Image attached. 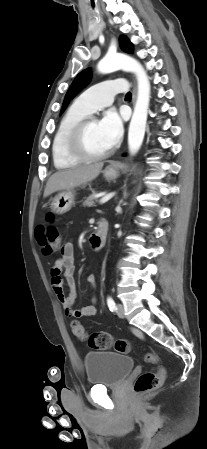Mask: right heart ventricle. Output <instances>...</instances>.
<instances>
[{
    "mask_svg": "<svg viewBox=\"0 0 207 449\" xmlns=\"http://www.w3.org/2000/svg\"><path fill=\"white\" fill-rule=\"evenodd\" d=\"M89 115L90 113L78 107L74 102L62 117L52 142V159L57 169L71 168L81 162L69 154L67 138L71 129Z\"/></svg>",
    "mask_w": 207,
    "mask_h": 449,
    "instance_id": "right-heart-ventricle-1",
    "label": "right heart ventricle"
}]
</instances>
